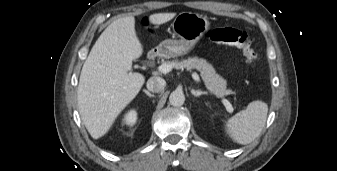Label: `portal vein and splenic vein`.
<instances>
[{"instance_id": "obj_1", "label": "portal vein and splenic vein", "mask_w": 337, "mask_h": 171, "mask_svg": "<svg viewBox=\"0 0 337 171\" xmlns=\"http://www.w3.org/2000/svg\"><path fill=\"white\" fill-rule=\"evenodd\" d=\"M173 68V65L170 64V63H163L161 64L159 67H158V71L161 72V73H168L172 70ZM192 78L196 81V82H200V77L197 73H192ZM222 103L225 105L227 111L229 113H232L233 112V107L231 105V103L227 100V99H223L222 100Z\"/></svg>"}]
</instances>
